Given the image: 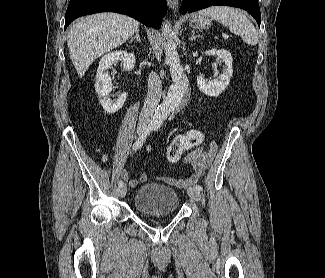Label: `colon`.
I'll list each match as a JSON object with an SVG mask.
<instances>
[{
	"label": "colon",
	"instance_id": "1",
	"mask_svg": "<svg viewBox=\"0 0 325 278\" xmlns=\"http://www.w3.org/2000/svg\"><path fill=\"white\" fill-rule=\"evenodd\" d=\"M203 141V134L197 129H192L188 134H180L173 139L166 151V159L170 164L179 161L182 154L199 145Z\"/></svg>",
	"mask_w": 325,
	"mask_h": 278
}]
</instances>
